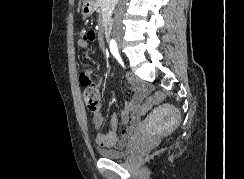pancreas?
Instances as JSON below:
<instances>
[{"instance_id":"cf45deb5","label":"pancreas","mask_w":244,"mask_h":179,"mask_svg":"<svg viewBox=\"0 0 244 179\" xmlns=\"http://www.w3.org/2000/svg\"><path fill=\"white\" fill-rule=\"evenodd\" d=\"M97 4L100 6V16L104 20V18H107V14L111 12V8L108 6L109 0H97Z\"/></svg>"}]
</instances>
